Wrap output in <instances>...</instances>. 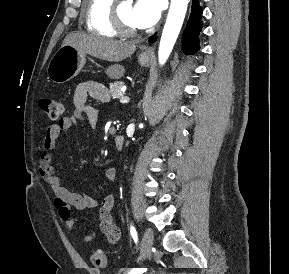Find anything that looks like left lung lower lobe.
I'll list each match as a JSON object with an SVG mask.
<instances>
[{
    "label": "left lung lower lobe",
    "mask_w": 289,
    "mask_h": 274,
    "mask_svg": "<svg viewBox=\"0 0 289 274\" xmlns=\"http://www.w3.org/2000/svg\"><path fill=\"white\" fill-rule=\"evenodd\" d=\"M201 14L202 9L199 6V1L192 0L190 19L183 35V48L187 54H193L200 48L198 35L202 28ZM155 40L156 37L154 35L149 39V42L153 43Z\"/></svg>",
    "instance_id": "left-lung-lower-lobe-1"
}]
</instances>
